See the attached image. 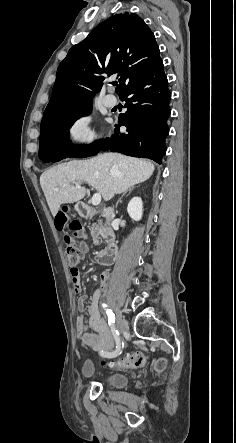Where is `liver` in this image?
I'll return each mask as SVG.
<instances>
[{
    "instance_id": "obj_1",
    "label": "liver",
    "mask_w": 236,
    "mask_h": 443,
    "mask_svg": "<svg viewBox=\"0 0 236 443\" xmlns=\"http://www.w3.org/2000/svg\"><path fill=\"white\" fill-rule=\"evenodd\" d=\"M153 172L154 165L149 160L104 153L50 168L40 176V185L52 215L56 216L62 204L84 198L86 189L74 186L76 182L89 183L108 201L115 194L148 180Z\"/></svg>"
}]
</instances>
